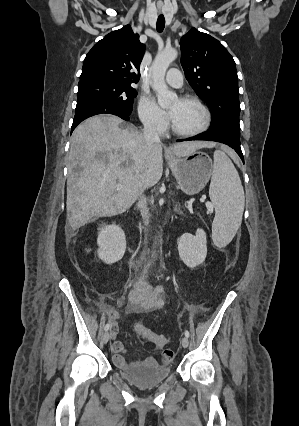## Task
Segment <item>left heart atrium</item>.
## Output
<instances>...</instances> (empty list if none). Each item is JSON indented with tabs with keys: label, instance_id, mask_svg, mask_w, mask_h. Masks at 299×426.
I'll use <instances>...</instances> for the list:
<instances>
[{
	"label": "left heart atrium",
	"instance_id": "left-heart-atrium-1",
	"mask_svg": "<svg viewBox=\"0 0 299 426\" xmlns=\"http://www.w3.org/2000/svg\"><path fill=\"white\" fill-rule=\"evenodd\" d=\"M172 116H173V113H172V112H170V117L172 118Z\"/></svg>",
	"mask_w": 299,
	"mask_h": 426
}]
</instances>
